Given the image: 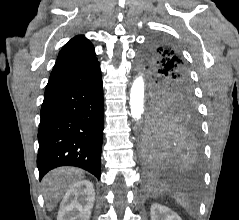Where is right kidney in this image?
<instances>
[{
    "instance_id": "1",
    "label": "right kidney",
    "mask_w": 239,
    "mask_h": 220,
    "mask_svg": "<svg viewBox=\"0 0 239 220\" xmlns=\"http://www.w3.org/2000/svg\"><path fill=\"white\" fill-rule=\"evenodd\" d=\"M95 200L93 183L81 180L65 194L57 220H89Z\"/></svg>"
}]
</instances>
